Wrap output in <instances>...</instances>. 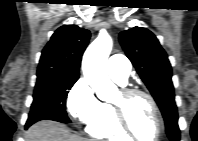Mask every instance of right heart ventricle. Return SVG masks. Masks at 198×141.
Segmentation results:
<instances>
[{
    "instance_id": "right-heart-ventricle-1",
    "label": "right heart ventricle",
    "mask_w": 198,
    "mask_h": 141,
    "mask_svg": "<svg viewBox=\"0 0 198 141\" xmlns=\"http://www.w3.org/2000/svg\"><path fill=\"white\" fill-rule=\"evenodd\" d=\"M87 132L96 138L125 141L130 137L118 126L111 105L100 102L97 116L87 124Z\"/></svg>"
}]
</instances>
